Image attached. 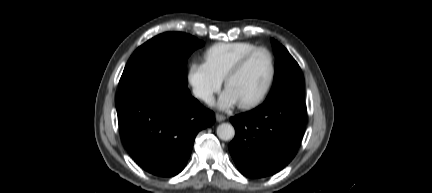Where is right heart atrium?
Listing matches in <instances>:
<instances>
[{
  "label": "right heart atrium",
  "instance_id": "1",
  "mask_svg": "<svg viewBox=\"0 0 432 193\" xmlns=\"http://www.w3.org/2000/svg\"><path fill=\"white\" fill-rule=\"evenodd\" d=\"M188 82L194 95L204 102H211L222 86V80L214 74L206 62H193L188 69Z\"/></svg>",
  "mask_w": 432,
  "mask_h": 193
}]
</instances>
